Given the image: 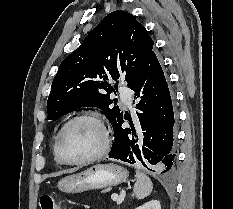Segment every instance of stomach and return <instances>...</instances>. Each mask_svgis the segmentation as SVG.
<instances>
[{
    "label": "stomach",
    "mask_w": 233,
    "mask_h": 209,
    "mask_svg": "<svg viewBox=\"0 0 233 209\" xmlns=\"http://www.w3.org/2000/svg\"><path fill=\"white\" fill-rule=\"evenodd\" d=\"M127 177V170L121 166L96 164L82 172L62 178L57 186L59 190L66 193H79L116 186L125 182Z\"/></svg>",
    "instance_id": "0dacf381"
}]
</instances>
